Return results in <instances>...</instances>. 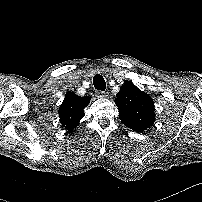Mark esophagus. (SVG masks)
<instances>
[{
  "mask_svg": "<svg viewBox=\"0 0 202 202\" xmlns=\"http://www.w3.org/2000/svg\"><path fill=\"white\" fill-rule=\"evenodd\" d=\"M95 96H96L97 98L107 97V96H108V93L98 90V91L95 92Z\"/></svg>",
  "mask_w": 202,
  "mask_h": 202,
  "instance_id": "obj_1",
  "label": "esophagus"
}]
</instances>
